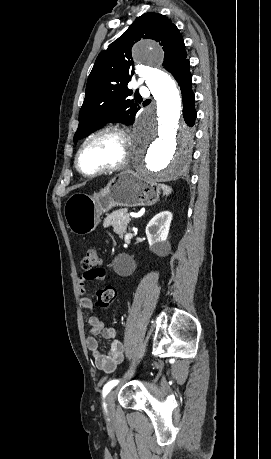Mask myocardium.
Listing matches in <instances>:
<instances>
[{"instance_id":"1","label":"myocardium","mask_w":271,"mask_h":459,"mask_svg":"<svg viewBox=\"0 0 271 459\" xmlns=\"http://www.w3.org/2000/svg\"><path fill=\"white\" fill-rule=\"evenodd\" d=\"M108 132L109 133H113L114 135H116L121 140V142L123 144V153H122L121 157L114 163L102 166V167H100V168H98V169H96V170H94L92 172H85L84 170L81 169V167L79 165V157H80V154H81L84 146L93 137L98 136V135L103 134V133H108ZM130 155H131V143H130V139H129L125 129L123 127H121L120 125H118V124H107V125H104V126L98 128V129L92 131L91 133H89L87 136L84 137V139L79 144V146L77 148V151L75 153L74 165H75L76 170L81 175H83L84 177L91 178V177H95L97 175H100V174H103V173H106V172H110V171H114V170H118L120 168H123L124 166H126L128 164L129 159H130Z\"/></svg>"}]
</instances>
